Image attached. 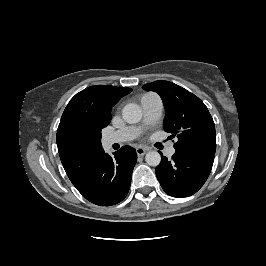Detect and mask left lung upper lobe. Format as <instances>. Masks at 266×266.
<instances>
[{"label": "left lung upper lobe", "mask_w": 266, "mask_h": 266, "mask_svg": "<svg viewBox=\"0 0 266 266\" xmlns=\"http://www.w3.org/2000/svg\"><path fill=\"white\" fill-rule=\"evenodd\" d=\"M157 92L165 107L163 128L178 138L176 151L215 153L216 133L205 104L194 94L169 81H155L142 87Z\"/></svg>", "instance_id": "5c2ea615"}]
</instances>
